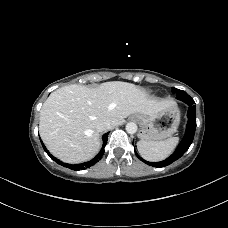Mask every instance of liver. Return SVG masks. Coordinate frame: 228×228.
<instances>
[{
    "instance_id": "obj_1",
    "label": "liver",
    "mask_w": 228,
    "mask_h": 228,
    "mask_svg": "<svg viewBox=\"0 0 228 228\" xmlns=\"http://www.w3.org/2000/svg\"><path fill=\"white\" fill-rule=\"evenodd\" d=\"M171 101L150 98L132 83L112 81L98 88L72 84L50 94L40 111L39 132L48 150L69 163L90 160L100 150L97 126L124 123L131 114H156Z\"/></svg>"
}]
</instances>
